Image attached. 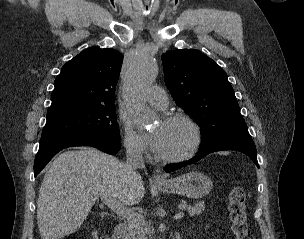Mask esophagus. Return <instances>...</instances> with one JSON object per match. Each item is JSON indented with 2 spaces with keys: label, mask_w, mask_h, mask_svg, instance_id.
Segmentation results:
<instances>
[{
  "label": "esophagus",
  "mask_w": 304,
  "mask_h": 239,
  "mask_svg": "<svg viewBox=\"0 0 304 239\" xmlns=\"http://www.w3.org/2000/svg\"><path fill=\"white\" fill-rule=\"evenodd\" d=\"M152 181L154 183H163L165 181V179L162 176L158 175V174H153Z\"/></svg>",
  "instance_id": "obj_1"
}]
</instances>
